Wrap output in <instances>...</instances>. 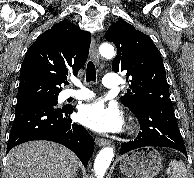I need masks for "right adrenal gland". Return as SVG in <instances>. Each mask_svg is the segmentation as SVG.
I'll list each match as a JSON object with an SVG mask.
<instances>
[{"label":"right adrenal gland","instance_id":"1","mask_svg":"<svg viewBox=\"0 0 194 178\" xmlns=\"http://www.w3.org/2000/svg\"><path fill=\"white\" fill-rule=\"evenodd\" d=\"M76 176H77V174L73 175V177H72V178H76Z\"/></svg>","mask_w":194,"mask_h":178}]
</instances>
